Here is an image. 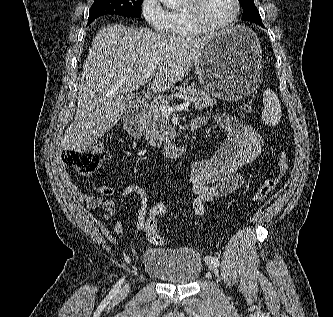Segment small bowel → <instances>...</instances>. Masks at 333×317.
Listing matches in <instances>:
<instances>
[{
    "mask_svg": "<svg viewBox=\"0 0 333 317\" xmlns=\"http://www.w3.org/2000/svg\"><path fill=\"white\" fill-rule=\"evenodd\" d=\"M195 120L202 126L208 119L197 117ZM215 120L226 132V138L212 157L193 162L190 170L189 182L192 192L196 195L192 209L197 217L205 214L207 203L227 197L243 188L244 177L239 170L260 156L264 143L263 135L258 130L230 114H220ZM64 185L75 202H86L90 207L101 209L106 219L116 214L114 201L82 192L68 176L64 178ZM95 189L106 197L116 194V189L111 185L99 184ZM130 195L136 196L139 200L134 233L137 236L145 233L149 198L146 190L136 184L127 185L119 194L121 198ZM113 230L116 234H121L123 223L120 220L116 221Z\"/></svg>",
    "mask_w": 333,
    "mask_h": 317,
    "instance_id": "obj_1",
    "label": "small bowel"
}]
</instances>
